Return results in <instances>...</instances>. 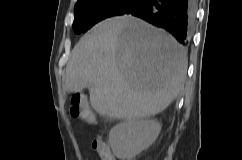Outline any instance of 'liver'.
<instances>
[{
	"label": "liver",
	"mask_w": 242,
	"mask_h": 160,
	"mask_svg": "<svg viewBox=\"0 0 242 160\" xmlns=\"http://www.w3.org/2000/svg\"><path fill=\"white\" fill-rule=\"evenodd\" d=\"M187 54L171 35L132 16L95 25L66 66L68 93L88 87L102 116L140 120L166 109L180 93Z\"/></svg>",
	"instance_id": "1"
}]
</instances>
